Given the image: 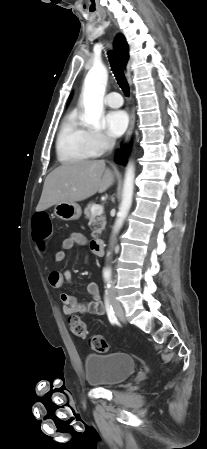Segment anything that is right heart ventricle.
<instances>
[{
  "label": "right heart ventricle",
  "mask_w": 207,
  "mask_h": 449,
  "mask_svg": "<svg viewBox=\"0 0 207 449\" xmlns=\"http://www.w3.org/2000/svg\"><path fill=\"white\" fill-rule=\"evenodd\" d=\"M56 153L63 164L87 160L96 155L89 141V131L81 124L75 111L70 112L60 126Z\"/></svg>",
  "instance_id": "obj_1"
}]
</instances>
